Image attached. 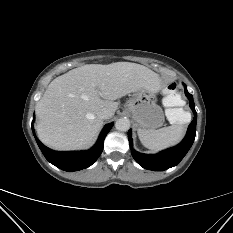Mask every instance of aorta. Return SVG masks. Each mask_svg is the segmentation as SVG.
<instances>
[{"label":"aorta","mask_w":233,"mask_h":233,"mask_svg":"<svg viewBox=\"0 0 233 233\" xmlns=\"http://www.w3.org/2000/svg\"><path fill=\"white\" fill-rule=\"evenodd\" d=\"M115 128L122 132L128 131L130 128V121L126 118H120L116 121Z\"/></svg>","instance_id":"aorta-1"}]
</instances>
